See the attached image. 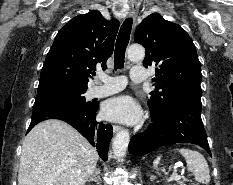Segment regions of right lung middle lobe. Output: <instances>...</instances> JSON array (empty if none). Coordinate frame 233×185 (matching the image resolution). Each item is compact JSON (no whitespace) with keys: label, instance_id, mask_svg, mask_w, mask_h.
Instances as JSON below:
<instances>
[{"label":"right lung middle lobe","instance_id":"right-lung-middle-lobe-1","mask_svg":"<svg viewBox=\"0 0 233 185\" xmlns=\"http://www.w3.org/2000/svg\"><path fill=\"white\" fill-rule=\"evenodd\" d=\"M86 89H68V88H52L38 90L36 100L40 99H58L76 102L79 104L90 105L91 102H86L83 94Z\"/></svg>","mask_w":233,"mask_h":185}]
</instances>
